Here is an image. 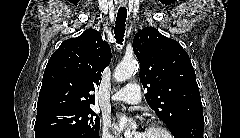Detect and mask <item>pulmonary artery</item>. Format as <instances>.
Returning a JSON list of instances; mask_svg holds the SVG:
<instances>
[{
	"mask_svg": "<svg viewBox=\"0 0 240 138\" xmlns=\"http://www.w3.org/2000/svg\"><path fill=\"white\" fill-rule=\"evenodd\" d=\"M140 88L135 83H129L112 96L115 102L135 105L141 102Z\"/></svg>",
	"mask_w": 240,
	"mask_h": 138,
	"instance_id": "e3ab8cb5",
	"label": "pulmonary artery"
}]
</instances>
